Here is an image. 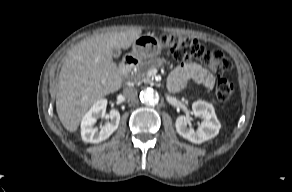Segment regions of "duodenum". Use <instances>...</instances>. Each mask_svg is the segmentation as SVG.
<instances>
[{
	"instance_id": "1",
	"label": "duodenum",
	"mask_w": 292,
	"mask_h": 192,
	"mask_svg": "<svg viewBox=\"0 0 292 192\" xmlns=\"http://www.w3.org/2000/svg\"><path fill=\"white\" fill-rule=\"evenodd\" d=\"M138 63L137 58L133 56H127L120 63L119 71L122 75H126L136 64Z\"/></svg>"
}]
</instances>
